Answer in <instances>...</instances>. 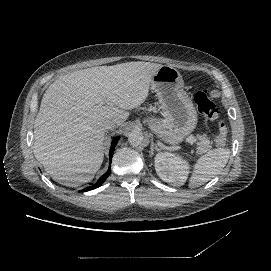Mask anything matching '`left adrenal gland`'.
<instances>
[{"mask_svg":"<svg viewBox=\"0 0 271 271\" xmlns=\"http://www.w3.org/2000/svg\"><path fill=\"white\" fill-rule=\"evenodd\" d=\"M150 149H151L150 156H153L154 150L161 151V148H159L158 145L153 142V140L151 141V148Z\"/></svg>","mask_w":271,"mask_h":271,"instance_id":"left-adrenal-gland-1","label":"left adrenal gland"}]
</instances>
